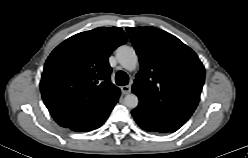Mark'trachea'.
Masks as SVG:
<instances>
[{
	"label": "trachea",
	"mask_w": 248,
	"mask_h": 158,
	"mask_svg": "<svg viewBox=\"0 0 248 158\" xmlns=\"http://www.w3.org/2000/svg\"><path fill=\"white\" fill-rule=\"evenodd\" d=\"M129 82L128 75L124 71H118L116 73V83L120 86H125Z\"/></svg>",
	"instance_id": "3493384b"
}]
</instances>
